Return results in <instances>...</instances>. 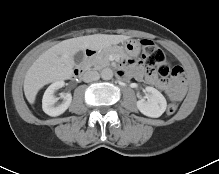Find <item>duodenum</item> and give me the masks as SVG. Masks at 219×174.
Listing matches in <instances>:
<instances>
[{"instance_id":"duodenum-1","label":"duodenum","mask_w":219,"mask_h":174,"mask_svg":"<svg viewBox=\"0 0 219 174\" xmlns=\"http://www.w3.org/2000/svg\"><path fill=\"white\" fill-rule=\"evenodd\" d=\"M95 54H96V49H94V48H88V49L85 50L82 65L75 68L74 71H73V76L75 78H80L84 74V72L86 71L87 64L89 63L90 59L93 56H95Z\"/></svg>"}]
</instances>
